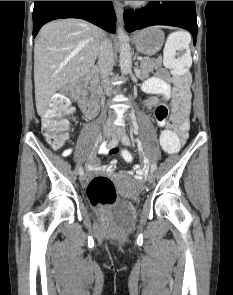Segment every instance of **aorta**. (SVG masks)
Returning <instances> with one entry per match:
<instances>
[{
	"instance_id": "aorta-1",
	"label": "aorta",
	"mask_w": 233,
	"mask_h": 295,
	"mask_svg": "<svg viewBox=\"0 0 233 295\" xmlns=\"http://www.w3.org/2000/svg\"><path fill=\"white\" fill-rule=\"evenodd\" d=\"M118 39L120 41L119 66L122 74H128L132 68L130 45L128 43V36L123 28L120 27L118 29Z\"/></svg>"
}]
</instances>
